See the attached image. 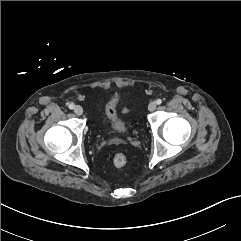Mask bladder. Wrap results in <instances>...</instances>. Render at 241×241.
I'll return each mask as SVG.
<instances>
[{"label": "bladder", "mask_w": 241, "mask_h": 241, "mask_svg": "<svg viewBox=\"0 0 241 241\" xmlns=\"http://www.w3.org/2000/svg\"><path fill=\"white\" fill-rule=\"evenodd\" d=\"M110 103L115 107L116 100L113 99L110 101ZM107 120L109 122L110 129L113 133L115 134L125 133L127 127H126V123L123 120L119 119L116 116H110V115H107Z\"/></svg>", "instance_id": "bladder-1"}]
</instances>
